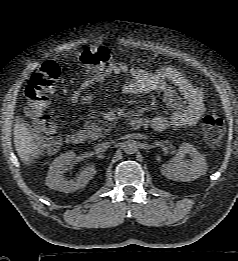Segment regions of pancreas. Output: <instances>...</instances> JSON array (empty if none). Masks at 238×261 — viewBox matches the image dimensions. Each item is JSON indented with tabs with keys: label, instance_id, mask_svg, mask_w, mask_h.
<instances>
[{
	"label": "pancreas",
	"instance_id": "cf45deb5",
	"mask_svg": "<svg viewBox=\"0 0 238 261\" xmlns=\"http://www.w3.org/2000/svg\"><path fill=\"white\" fill-rule=\"evenodd\" d=\"M107 123L102 120H97L95 122L87 121L84 123V133L86 136L92 140H97L103 137V133H107L110 129H105Z\"/></svg>",
	"mask_w": 238,
	"mask_h": 261
}]
</instances>
